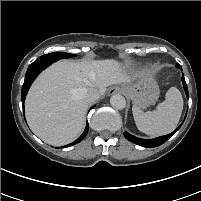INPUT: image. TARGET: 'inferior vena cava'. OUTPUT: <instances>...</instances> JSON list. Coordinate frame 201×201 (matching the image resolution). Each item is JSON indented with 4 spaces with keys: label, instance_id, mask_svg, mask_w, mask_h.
<instances>
[{
    "label": "inferior vena cava",
    "instance_id": "inferior-vena-cava-1",
    "mask_svg": "<svg viewBox=\"0 0 201 201\" xmlns=\"http://www.w3.org/2000/svg\"><path fill=\"white\" fill-rule=\"evenodd\" d=\"M99 96V92L94 88H87L84 91V98L89 103L96 101Z\"/></svg>",
    "mask_w": 201,
    "mask_h": 201
}]
</instances>
